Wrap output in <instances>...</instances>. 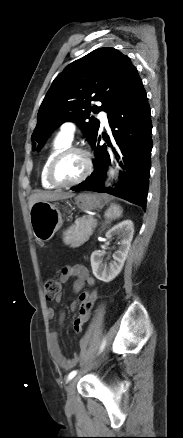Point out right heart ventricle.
<instances>
[{
	"label": "right heart ventricle",
	"instance_id": "1",
	"mask_svg": "<svg viewBox=\"0 0 183 438\" xmlns=\"http://www.w3.org/2000/svg\"><path fill=\"white\" fill-rule=\"evenodd\" d=\"M71 139L60 133L55 137L52 141L45 157L43 160V164L40 171V179L41 184L45 189H53L55 188L48 180H47V168L49 166L52 158L62 149L68 147L70 145Z\"/></svg>",
	"mask_w": 183,
	"mask_h": 438
}]
</instances>
